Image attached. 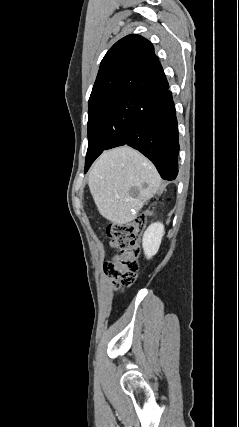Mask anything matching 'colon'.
Listing matches in <instances>:
<instances>
[{
	"mask_svg": "<svg viewBox=\"0 0 239 427\" xmlns=\"http://www.w3.org/2000/svg\"><path fill=\"white\" fill-rule=\"evenodd\" d=\"M145 225L146 216L141 214L130 222L110 223L106 227V235L118 254L113 260L105 262L103 268L118 289L129 287L136 279L139 237Z\"/></svg>",
	"mask_w": 239,
	"mask_h": 427,
	"instance_id": "obj_1",
	"label": "colon"
}]
</instances>
